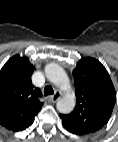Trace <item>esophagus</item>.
<instances>
[{"label":"esophagus","mask_w":118,"mask_h":142,"mask_svg":"<svg viewBox=\"0 0 118 142\" xmlns=\"http://www.w3.org/2000/svg\"><path fill=\"white\" fill-rule=\"evenodd\" d=\"M60 97H61V92L56 91L54 93V95L49 97V100L54 103V102L58 101Z\"/></svg>","instance_id":"esophagus-1"}]
</instances>
